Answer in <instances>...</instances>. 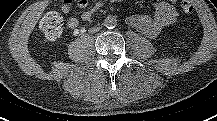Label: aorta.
<instances>
[{
  "mask_svg": "<svg viewBox=\"0 0 217 121\" xmlns=\"http://www.w3.org/2000/svg\"><path fill=\"white\" fill-rule=\"evenodd\" d=\"M116 25V19L114 17H107L104 21V26L107 28H113Z\"/></svg>",
  "mask_w": 217,
  "mask_h": 121,
  "instance_id": "1",
  "label": "aorta"
}]
</instances>
